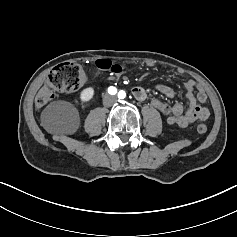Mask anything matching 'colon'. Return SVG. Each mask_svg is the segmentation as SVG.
<instances>
[{
    "mask_svg": "<svg viewBox=\"0 0 237 237\" xmlns=\"http://www.w3.org/2000/svg\"><path fill=\"white\" fill-rule=\"evenodd\" d=\"M96 67L100 71L111 73L113 76L124 74L128 68L109 59H99ZM87 81L84 68L74 63H63L54 67L47 76L46 82L39 90L36 97L38 109L44 108L59 92H73L78 90ZM197 131L204 134L207 126L203 122L197 124Z\"/></svg>",
    "mask_w": 237,
    "mask_h": 237,
    "instance_id": "obj_1",
    "label": "colon"
}]
</instances>
